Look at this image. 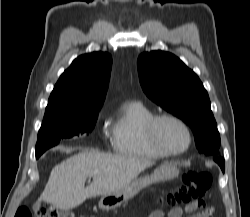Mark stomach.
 <instances>
[{
  "label": "stomach",
  "instance_id": "0dacf381",
  "mask_svg": "<svg viewBox=\"0 0 250 217\" xmlns=\"http://www.w3.org/2000/svg\"><path fill=\"white\" fill-rule=\"evenodd\" d=\"M178 173L179 170L175 164H163L155 170L153 175L135 178L125 189L116 193L104 195L98 203L99 208L105 211L118 208L132 199L139 191L146 188L148 185L174 178Z\"/></svg>",
  "mask_w": 250,
  "mask_h": 217
}]
</instances>
